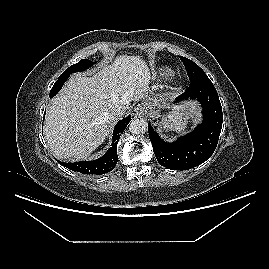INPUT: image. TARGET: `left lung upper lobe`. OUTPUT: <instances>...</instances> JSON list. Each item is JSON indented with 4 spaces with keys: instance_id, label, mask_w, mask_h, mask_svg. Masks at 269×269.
I'll list each match as a JSON object with an SVG mask.
<instances>
[{
    "instance_id": "1",
    "label": "left lung upper lobe",
    "mask_w": 269,
    "mask_h": 269,
    "mask_svg": "<svg viewBox=\"0 0 269 269\" xmlns=\"http://www.w3.org/2000/svg\"><path fill=\"white\" fill-rule=\"evenodd\" d=\"M180 59L186 68L187 74L191 82L197 81L202 78H207V75L196 63L185 57H180Z\"/></svg>"
}]
</instances>
